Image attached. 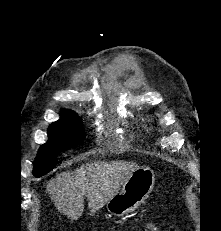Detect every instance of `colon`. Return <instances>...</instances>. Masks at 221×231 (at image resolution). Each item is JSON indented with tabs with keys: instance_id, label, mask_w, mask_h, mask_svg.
<instances>
[{
	"instance_id": "5ec220e1",
	"label": "colon",
	"mask_w": 221,
	"mask_h": 231,
	"mask_svg": "<svg viewBox=\"0 0 221 231\" xmlns=\"http://www.w3.org/2000/svg\"><path fill=\"white\" fill-rule=\"evenodd\" d=\"M141 231H157V228L153 223H149Z\"/></svg>"
}]
</instances>
